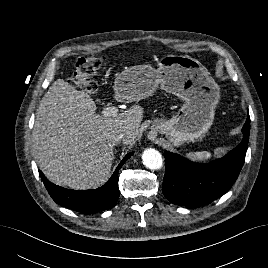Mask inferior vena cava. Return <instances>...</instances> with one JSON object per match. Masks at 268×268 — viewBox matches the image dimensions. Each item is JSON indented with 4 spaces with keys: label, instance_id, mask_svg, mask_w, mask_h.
Segmentation results:
<instances>
[{
    "label": "inferior vena cava",
    "instance_id": "inferior-vena-cava-1",
    "mask_svg": "<svg viewBox=\"0 0 268 268\" xmlns=\"http://www.w3.org/2000/svg\"><path fill=\"white\" fill-rule=\"evenodd\" d=\"M125 133L118 131V130H110L107 132L106 137L109 142L117 143L125 138Z\"/></svg>",
    "mask_w": 268,
    "mask_h": 268
}]
</instances>
